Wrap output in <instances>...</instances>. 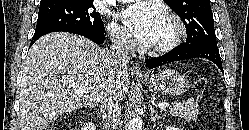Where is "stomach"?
I'll list each match as a JSON object with an SVG mask.
<instances>
[{
    "instance_id": "1",
    "label": "stomach",
    "mask_w": 249,
    "mask_h": 130,
    "mask_svg": "<svg viewBox=\"0 0 249 130\" xmlns=\"http://www.w3.org/2000/svg\"><path fill=\"white\" fill-rule=\"evenodd\" d=\"M138 81L151 90L170 96L182 95L189 88V81L186 76L172 69L159 71L148 78H138Z\"/></svg>"
}]
</instances>
